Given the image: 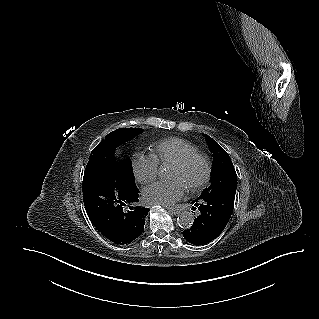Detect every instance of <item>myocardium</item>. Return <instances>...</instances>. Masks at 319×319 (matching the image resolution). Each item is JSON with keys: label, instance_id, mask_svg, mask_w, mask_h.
Instances as JSON below:
<instances>
[{"label": "myocardium", "instance_id": "1", "mask_svg": "<svg viewBox=\"0 0 319 319\" xmlns=\"http://www.w3.org/2000/svg\"><path fill=\"white\" fill-rule=\"evenodd\" d=\"M194 160H201L203 162L204 167H205V173H204L203 178L198 183L189 187L190 191H197V190L203 188L204 186H206L207 183L209 182V180L211 178V173H212V165H211V161L208 158V156L201 153V152L196 151V152L186 154L183 157H181L180 159H178L170 164L172 166L182 168V167L187 166L189 163H191Z\"/></svg>", "mask_w": 319, "mask_h": 319}]
</instances>
